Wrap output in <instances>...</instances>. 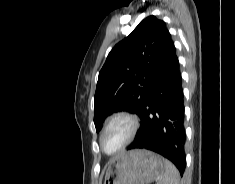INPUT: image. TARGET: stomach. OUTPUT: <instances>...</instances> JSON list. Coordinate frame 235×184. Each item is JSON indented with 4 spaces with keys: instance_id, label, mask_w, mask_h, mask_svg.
Masks as SVG:
<instances>
[{
    "instance_id": "1",
    "label": "stomach",
    "mask_w": 235,
    "mask_h": 184,
    "mask_svg": "<svg viewBox=\"0 0 235 184\" xmlns=\"http://www.w3.org/2000/svg\"><path fill=\"white\" fill-rule=\"evenodd\" d=\"M163 158L149 150H131L112 160L104 184H150L160 180Z\"/></svg>"
}]
</instances>
